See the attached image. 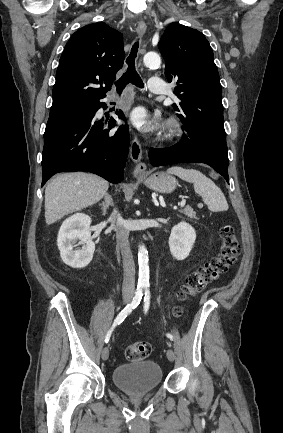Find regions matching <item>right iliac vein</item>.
<instances>
[{"label": "right iliac vein", "instance_id": "obj_1", "mask_svg": "<svg viewBox=\"0 0 283 433\" xmlns=\"http://www.w3.org/2000/svg\"><path fill=\"white\" fill-rule=\"evenodd\" d=\"M130 300H131L130 297L125 296L124 299H123V303L124 304H128L130 302ZM101 356H102L103 360H107L108 359V357H109V349H108V347H104L103 348Z\"/></svg>", "mask_w": 283, "mask_h": 433}]
</instances>
